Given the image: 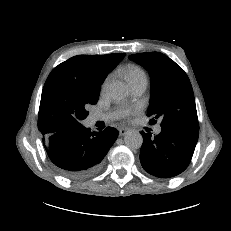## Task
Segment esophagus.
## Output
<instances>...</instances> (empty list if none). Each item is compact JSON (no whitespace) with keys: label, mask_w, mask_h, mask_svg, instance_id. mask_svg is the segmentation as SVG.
Wrapping results in <instances>:
<instances>
[{"label":"esophagus","mask_w":231,"mask_h":231,"mask_svg":"<svg viewBox=\"0 0 231 231\" xmlns=\"http://www.w3.org/2000/svg\"><path fill=\"white\" fill-rule=\"evenodd\" d=\"M128 131H129L128 128H120L119 129V135L124 136L127 134Z\"/></svg>","instance_id":"esophagus-1"}]
</instances>
